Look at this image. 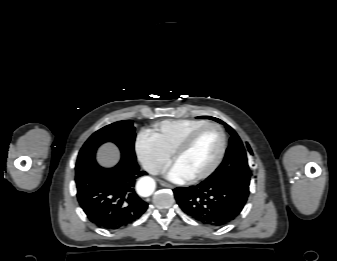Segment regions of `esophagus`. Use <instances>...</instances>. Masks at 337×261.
Listing matches in <instances>:
<instances>
[{
	"label": "esophagus",
	"mask_w": 337,
	"mask_h": 261,
	"mask_svg": "<svg viewBox=\"0 0 337 261\" xmlns=\"http://www.w3.org/2000/svg\"><path fill=\"white\" fill-rule=\"evenodd\" d=\"M159 183H160V185L163 186V187H167V188H171V189L174 188L173 185H171V184H169V183H167V182H165V181L159 180Z\"/></svg>",
	"instance_id": "esophagus-1"
}]
</instances>
